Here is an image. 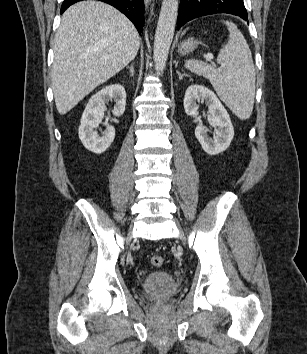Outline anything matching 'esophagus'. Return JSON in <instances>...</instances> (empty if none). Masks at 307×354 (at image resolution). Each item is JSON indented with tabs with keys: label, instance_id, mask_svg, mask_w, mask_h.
<instances>
[{
	"label": "esophagus",
	"instance_id": "obj_1",
	"mask_svg": "<svg viewBox=\"0 0 307 354\" xmlns=\"http://www.w3.org/2000/svg\"><path fill=\"white\" fill-rule=\"evenodd\" d=\"M151 0H145V4H149Z\"/></svg>",
	"mask_w": 307,
	"mask_h": 354
}]
</instances>
